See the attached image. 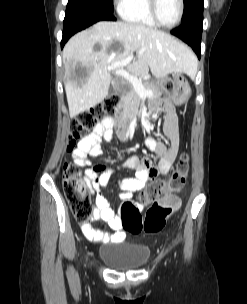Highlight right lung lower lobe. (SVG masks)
<instances>
[{
	"mask_svg": "<svg viewBox=\"0 0 247 304\" xmlns=\"http://www.w3.org/2000/svg\"><path fill=\"white\" fill-rule=\"evenodd\" d=\"M101 20L115 21L116 18L102 10L67 5L61 48L73 34Z\"/></svg>",
	"mask_w": 247,
	"mask_h": 304,
	"instance_id": "obj_1",
	"label": "right lung lower lobe"
}]
</instances>
